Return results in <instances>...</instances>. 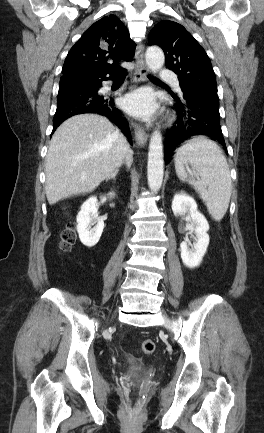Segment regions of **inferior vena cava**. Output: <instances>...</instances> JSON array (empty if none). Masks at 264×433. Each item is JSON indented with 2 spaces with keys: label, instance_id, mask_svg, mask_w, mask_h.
Instances as JSON below:
<instances>
[{
  "label": "inferior vena cava",
  "instance_id": "inferior-vena-cava-1",
  "mask_svg": "<svg viewBox=\"0 0 264 433\" xmlns=\"http://www.w3.org/2000/svg\"><path fill=\"white\" fill-rule=\"evenodd\" d=\"M116 135L119 138L118 148H119V151L121 152V161H120L119 165H121L123 160H125V158H126V153L129 149V144L127 143L126 138L122 134H120L118 130L116 132Z\"/></svg>",
  "mask_w": 264,
  "mask_h": 433
}]
</instances>
